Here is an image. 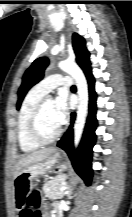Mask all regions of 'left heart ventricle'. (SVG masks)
Listing matches in <instances>:
<instances>
[{
	"mask_svg": "<svg viewBox=\"0 0 132 217\" xmlns=\"http://www.w3.org/2000/svg\"><path fill=\"white\" fill-rule=\"evenodd\" d=\"M59 127L55 119L54 102L51 100L47 102L42 111L40 130L45 137H50L56 133Z\"/></svg>",
	"mask_w": 132,
	"mask_h": 217,
	"instance_id": "obj_1",
	"label": "left heart ventricle"
}]
</instances>
